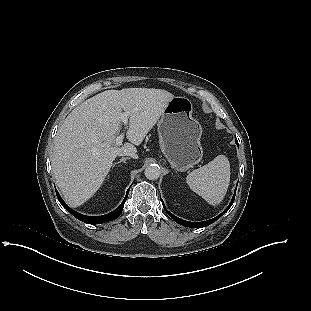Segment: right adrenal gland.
<instances>
[{
    "label": "right adrenal gland",
    "instance_id": "2a0ac1e0",
    "mask_svg": "<svg viewBox=\"0 0 311 311\" xmlns=\"http://www.w3.org/2000/svg\"><path fill=\"white\" fill-rule=\"evenodd\" d=\"M127 159H128L127 157L121 158L118 162H116L115 164H113V167H114L115 165H117V164H120V163H126V160H127Z\"/></svg>",
    "mask_w": 311,
    "mask_h": 311
}]
</instances>
